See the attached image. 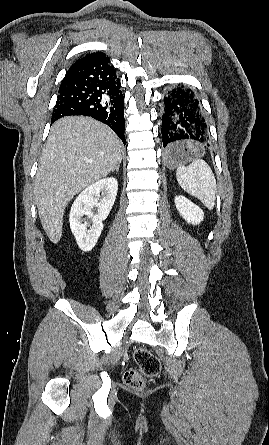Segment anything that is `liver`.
Returning a JSON list of instances; mask_svg holds the SVG:
<instances>
[{"label": "liver", "instance_id": "liver-1", "mask_svg": "<svg viewBox=\"0 0 269 445\" xmlns=\"http://www.w3.org/2000/svg\"><path fill=\"white\" fill-rule=\"evenodd\" d=\"M121 148L117 135L93 118L69 116L53 124L34 184L39 218L51 242L61 239L67 204L116 169Z\"/></svg>", "mask_w": 269, "mask_h": 445}]
</instances>
